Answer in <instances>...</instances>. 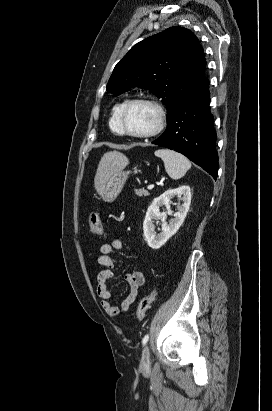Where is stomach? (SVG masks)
<instances>
[{
    "label": "stomach",
    "instance_id": "obj_1",
    "mask_svg": "<svg viewBox=\"0 0 272 411\" xmlns=\"http://www.w3.org/2000/svg\"><path fill=\"white\" fill-rule=\"evenodd\" d=\"M133 172L136 173L137 169L134 168ZM130 173L131 171H125L124 168H122L110 176L101 192V196L105 202H113L118 197Z\"/></svg>",
    "mask_w": 272,
    "mask_h": 411
}]
</instances>
